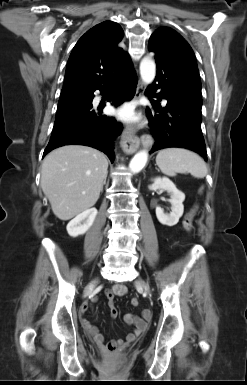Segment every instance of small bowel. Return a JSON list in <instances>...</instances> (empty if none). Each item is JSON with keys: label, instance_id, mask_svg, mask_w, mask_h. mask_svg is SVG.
Listing matches in <instances>:
<instances>
[{"label": "small bowel", "instance_id": "1", "mask_svg": "<svg viewBox=\"0 0 247 385\" xmlns=\"http://www.w3.org/2000/svg\"><path fill=\"white\" fill-rule=\"evenodd\" d=\"M127 288L124 285L117 284L114 285L111 289L105 291V295L108 299V305L110 307V316L116 318L118 316V310L114 305L113 299L115 296H122L126 294ZM97 300L96 296H93L89 299L88 302L84 303L81 308V323L84 329L92 336L94 341L102 348H107L109 344L115 346V348H124L128 344L132 343L141 332L147 327L149 321L151 320L152 314L150 310H143L140 316L133 314H125L124 321L129 326H133L134 330L129 333L125 339L113 340L110 343L106 344L103 334L94 326L85 316L89 305Z\"/></svg>", "mask_w": 247, "mask_h": 385}]
</instances>
